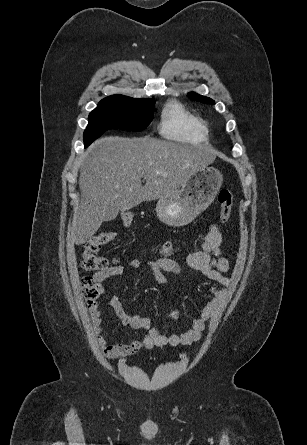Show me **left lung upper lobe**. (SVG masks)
<instances>
[{"instance_id": "5c2ea615", "label": "left lung upper lobe", "mask_w": 307, "mask_h": 445, "mask_svg": "<svg viewBox=\"0 0 307 445\" xmlns=\"http://www.w3.org/2000/svg\"><path fill=\"white\" fill-rule=\"evenodd\" d=\"M188 95H189L190 98H192L194 100L205 102V103H210V104H215V102L212 99H210L208 97L201 96V95L196 94L194 92L189 93Z\"/></svg>"}]
</instances>
